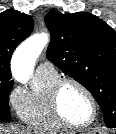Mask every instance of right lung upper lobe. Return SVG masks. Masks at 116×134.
<instances>
[{"label": "right lung upper lobe", "instance_id": "cb5924a9", "mask_svg": "<svg viewBox=\"0 0 116 134\" xmlns=\"http://www.w3.org/2000/svg\"><path fill=\"white\" fill-rule=\"evenodd\" d=\"M33 28L34 22L29 15L11 9L0 13V81H12L11 56Z\"/></svg>", "mask_w": 116, "mask_h": 134}]
</instances>
